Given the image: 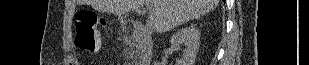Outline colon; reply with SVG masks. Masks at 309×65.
<instances>
[{
  "label": "colon",
  "instance_id": "5ec220e1",
  "mask_svg": "<svg viewBox=\"0 0 309 65\" xmlns=\"http://www.w3.org/2000/svg\"><path fill=\"white\" fill-rule=\"evenodd\" d=\"M76 46L84 52L100 50L102 43L99 27L106 26L104 18L89 11H79L75 15Z\"/></svg>",
  "mask_w": 309,
  "mask_h": 65
}]
</instances>
